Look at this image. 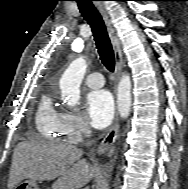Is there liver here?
I'll return each instance as SVG.
<instances>
[{"mask_svg":"<svg viewBox=\"0 0 188 189\" xmlns=\"http://www.w3.org/2000/svg\"><path fill=\"white\" fill-rule=\"evenodd\" d=\"M82 150L53 141L20 142L14 149L7 187L13 189L24 179L50 181L59 177L62 189H78L93 177Z\"/></svg>","mask_w":188,"mask_h":189,"instance_id":"obj_1","label":"liver"}]
</instances>
